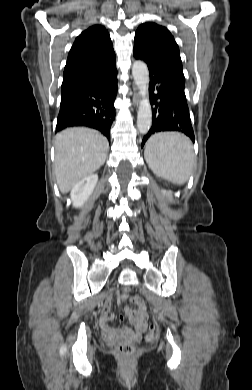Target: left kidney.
I'll return each instance as SVG.
<instances>
[{
	"label": "left kidney",
	"mask_w": 252,
	"mask_h": 390,
	"mask_svg": "<svg viewBox=\"0 0 252 390\" xmlns=\"http://www.w3.org/2000/svg\"><path fill=\"white\" fill-rule=\"evenodd\" d=\"M163 193L165 194V193H166V191H163ZM168 194H170V193H168Z\"/></svg>",
	"instance_id": "1"
}]
</instances>
